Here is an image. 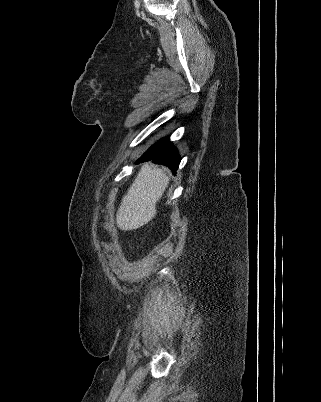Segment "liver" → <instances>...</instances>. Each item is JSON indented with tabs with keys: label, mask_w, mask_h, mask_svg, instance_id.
<instances>
[{
	"label": "liver",
	"mask_w": 321,
	"mask_h": 402,
	"mask_svg": "<svg viewBox=\"0 0 321 402\" xmlns=\"http://www.w3.org/2000/svg\"><path fill=\"white\" fill-rule=\"evenodd\" d=\"M169 177L160 168L146 163L123 197L116 214V223L124 231L136 230L157 214L156 204L168 187Z\"/></svg>",
	"instance_id": "liver-1"
}]
</instances>
